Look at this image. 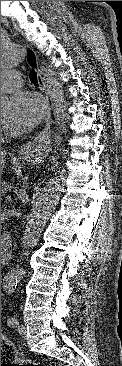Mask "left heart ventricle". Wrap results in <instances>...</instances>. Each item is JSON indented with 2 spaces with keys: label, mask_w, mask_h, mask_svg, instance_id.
<instances>
[{
  "label": "left heart ventricle",
  "mask_w": 122,
  "mask_h": 366,
  "mask_svg": "<svg viewBox=\"0 0 122 366\" xmlns=\"http://www.w3.org/2000/svg\"><path fill=\"white\" fill-rule=\"evenodd\" d=\"M5 119V114L4 113H1V126H3L4 124V120Z\"/></svg>",
  "instance_id": "b2bd125f"
}]
</instances>
